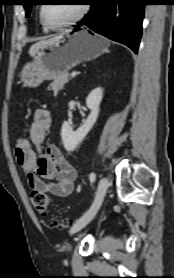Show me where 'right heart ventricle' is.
Segmentation results:
<instances>
[{
  "instance_id": "e07e8e85",
  "label": "right heart ventricle",
  "mask_w": 174,
  "mask_h": 278,
  "mask_svg": "<svg viewBox=\"0 0 174 278\" xmlns=\"http://www.w3.org/2000/svg\"><path fill=\"white\" fill-rule=\"evenodd\" d=\"M40 23H41L43 32H48V28L43 24L41 18H40Z\"/></svg>"
}]
</instances>
